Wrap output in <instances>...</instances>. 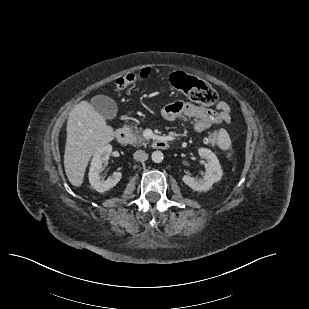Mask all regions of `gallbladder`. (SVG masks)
<instances>
[{"label": "gallbladder", "mask_w": 309, "mask_h": 309, "mask_svg": "<svg viewBox=\"0 0 309 309\" xmlns=\"http://www.w3.org/2000/svg\"><path fill=\"white\" fill-rule=\"evenodd\" d=\"M93 108L103 117L113 119L117 115V105L115 101L105 95H96L91 99Z\"/></svg>", "instance_id": "gallbladder-1"}]
</instances>
